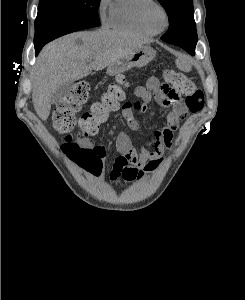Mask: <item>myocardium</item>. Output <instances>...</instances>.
<instances>
[{"mask_svg": "<svg viewBox=\"0 0 245 300\" xmlns=\"http://www.w3.org/2000/svg\"><path fill=\"white\" fill-rule=\"evenodd\" d=\"M152 8L159 10L162 14L163 25L160 27L152 26L149 21L148 13ZM138 17L141 25L152 34L160 33L169 26V14L167 10L163 5L155 0H145V2L139 8Z\"/></svg>", "mask_w": 245, "mask_h": 300, "instance_id": "f54148a6", "label": "myocardium"}]
</instances>
